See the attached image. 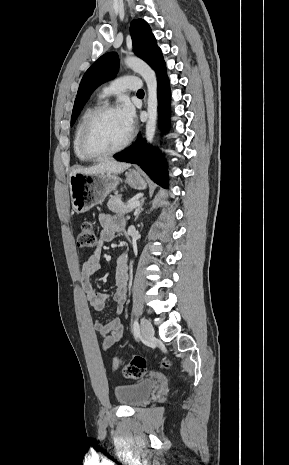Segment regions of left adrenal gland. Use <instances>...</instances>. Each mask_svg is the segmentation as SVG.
<instances>
[{"instance_id":"obj_1","label":"left adrenal gland","mask_w":289,"mask_h":465,"mask_svg":"<svg viewBox=\"0 0 289 465\" xmlns=\"http://www.w3.org/2000/svg\"><path fill=\"white\" fill-rule=\"evenodd\" d=\"M144 201H145L144 198L141 199L140 205L136 208V210H135V212H134V216H135L134 220H135V221L137 220L139 214L144 210V208H143Z\"/></svg>"}]
</instances>
